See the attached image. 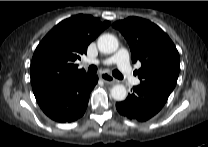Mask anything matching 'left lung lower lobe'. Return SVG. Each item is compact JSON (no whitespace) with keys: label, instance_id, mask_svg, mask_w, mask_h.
<instances>
[{"label":"left lung lower lobe","instance_id":"0a47b994","mask_svg":"<svg viewBox=\"0 0 208 147\" xmlns=\"http://www.w3.org/2000/svg\"><path fill=\"white\" fill-rule=\"evenodd\" d=\"M170 94L147 85L133 87L125 101L116 103L118 112L138 121H146L153 117L166 103Z\"/></svg>","mask_w":208,"mask_h":147}]
</instances>
